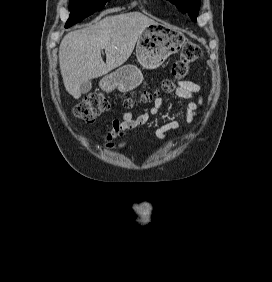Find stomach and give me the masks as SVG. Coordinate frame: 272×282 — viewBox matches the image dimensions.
I'll return each instance as SVG.
<instances>
[{
	"label": "stomach",
	"instance_id": "stomach-1",
	"mask_svg": "<svg viewBox=\"0 0 272 282\" xmlns=\"http://www.w3.org/2000/svg\"><path fill=\"white\" fill-rule=\"evenodd\" d=\"M185 41L184 35L172 27L154 23L149 25L137 41L136 57L144 69H155L172 54L177 53ZM143 75L135 65L127 64L102 79L106 91L118 89L129 92L141 84Z\"/></svg>",
	"mask_w": 272,
	"mask_h": 282
}]
</instances>
